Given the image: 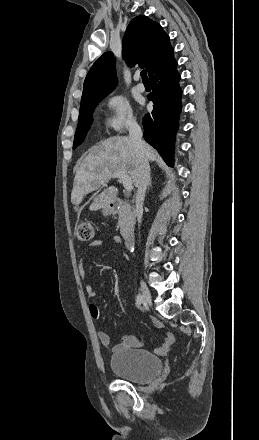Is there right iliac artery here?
<instances>
[{
    "label": "right iliac artery",
    "mask_w": 259,
    "mask_h": 440,
    "mask_svg": "<svg viewBox=\"0 0 259 440\" xmlns=\"http://www.w3.org/2000/svg\"><path fill=\"white\" fill-rule=\"evenodd\" d=\"M142 302H143V297H142L141 294H138V295H137V298H136V305H137V307H140V305L142 304Z\"/></svg>",
    "instance_id": "1"
}]
</instances>
